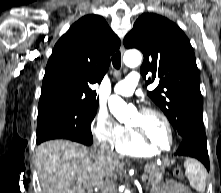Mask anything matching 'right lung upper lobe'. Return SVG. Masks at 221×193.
<instances>
[{"label":"right lung upper lobe","instance_id":"1","mask_svg":"<svg viewBox=\"0 0 221 193\" xmlns=\"http://www.w3.org/2000/svg\"><path fill=\"white\" fill-rule=\"evenodd\" d=\"M120 40L103 17L86 15L54 46L43 78L39 109L53 105L98 106L94 83H100Z\"/></svg>","mask_w":221,"mask_h":193}]
</instances>
